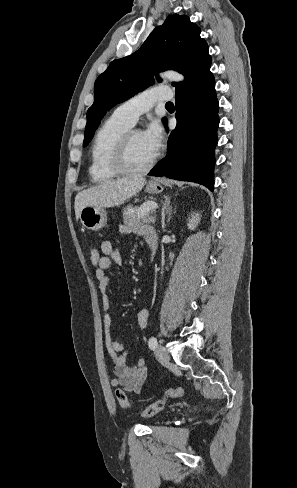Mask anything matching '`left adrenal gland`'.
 I'll return each instance as SVG.
<instances>
[{
	"mask_svg": "<svg viewBox=\"0 0 297 488\" xmlns=\"http://www.w3.org/2000/svg\"><path fill=\"white\" fill-rule=\"evenodd\" d=\"M163 214L168 215V221H169L171 218V214H172V207L170 206V198L169 197L165 198V202L163 205Z\"/></svg>",
	"mask_w": 297,
	"mask_h": 488,
	"instance_id": "obj_1",
	"label": "left adrenal gland"
}]
</instances>
